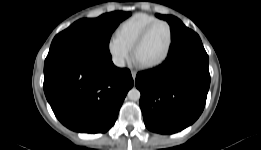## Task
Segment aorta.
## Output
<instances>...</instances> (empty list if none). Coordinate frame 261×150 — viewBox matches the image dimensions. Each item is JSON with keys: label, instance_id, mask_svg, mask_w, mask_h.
Instances as JSON below:
<instances>
[{"label": "aorta", "instance_id": "1", "mask_svg": "<svg viewBox=\"0 0 261 150\" xmlns=\"http://www.w3.org/2000/svg\"><path fill=\"white\" fill-rule=\"evenodd\" d=\"M127 96L130 100L137 101L140 99L141 94L138 89L132 88L131 90H129Z\"/></svg>", "mask_w": 261, "mask_h": 150}]
</instances>
